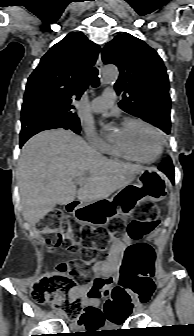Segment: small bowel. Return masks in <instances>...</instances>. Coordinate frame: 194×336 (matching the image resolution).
Returning <instances> with one entry per match:
<instances>
[{
  "instance_id": "c3829d8e",
  "label": "small bowel",
  "mask_w": 194,
  "mask_h": 336,
  "mask_svg": "<svg viewBox=\"0 0 194 336\" xmlns=\"http://www.w3.org/2000/svg\"><path fill=\"white\" fill-rule=\"evenodd\" d=\"M132 246L128 236L114 238L111 242L108 255L95 261L92 264L93 276L86 283L80 285L76 293L84 300V311L81 314L78 323L85 322L91 326H98L106 321V316L103 309L100 307L99 298L90 296L92 289H99L103 283L113 277L120 269L125 257L127 249ZM152 273L139 272L136 276L137 284L134 288L127 289L130 294H136L139 290H150L151 281L154 272V255L152 253Z\"/></svg>"
}]
</instances>
